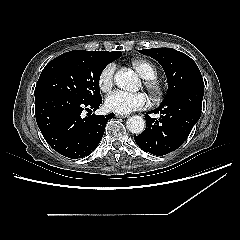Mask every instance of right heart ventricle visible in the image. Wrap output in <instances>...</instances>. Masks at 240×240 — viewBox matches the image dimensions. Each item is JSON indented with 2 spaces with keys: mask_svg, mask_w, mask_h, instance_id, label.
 I'll use <instances>...</instances> for the list:
<instances>
[{
  "mask_svg": "<svg viewBox=\"0 0 240 240\" xmlns=\"http://www.w3.org/2000/svg\"><path fill=\"white\" fill-rule=\"evenodd\" d=\"M131 65L143 79L156 76L157 71L155 66L145 59H134L132 60Z\"/></svg>",
  "mask_w": 240,
  "mask_h": 240,
  "instance_id": "1",
  "label": "right heart ventricle"
}]
</instances>
